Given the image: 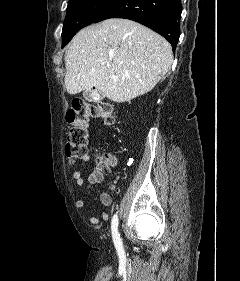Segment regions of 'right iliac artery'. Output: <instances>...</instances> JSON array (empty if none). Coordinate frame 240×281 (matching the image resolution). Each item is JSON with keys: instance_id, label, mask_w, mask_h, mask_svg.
I'll use <instances>...</instances> for the list:
<instances>
[{"instance_id": "82829eb1", "label": "right iliac artery", "mask_w": 240, "mask_h": 281, "mask_svg": "<svg viewBox=\"0 0 240 281\" xmlns=\"http://www.w3.org/2000/svg\"><path fill=\"white\" fill-rule=\"evenodd\" d=\"M111 230H112V237H113L115 247L120 252V251H122V240H121L120 234L118 232V216H117V214H115L112 217Z\"/></svg>"}]
</instances>
